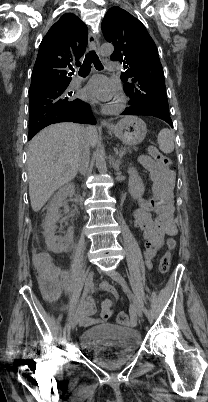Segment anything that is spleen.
<instances>
[{
	"label": "spleen",
	"instance_id": "1",
	"mask_svg": "<svg viewBox=\"0 0 208 402\" xmlns=\"http://www.w3.org/2000/svg\"><path fill=\"white\" fill-rule=\"evenodd\" d=\"M157 142L161 152H164V154H171V152H173L174 138L171 130H168V128H164V130L159 132Z\"/></svg>",
	"mask_w": 208,
	"mask_h": 402
}]
</instances>
